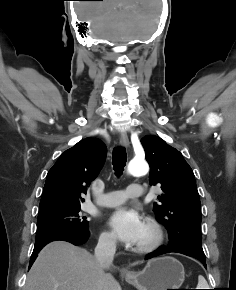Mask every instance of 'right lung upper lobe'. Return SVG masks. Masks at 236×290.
I'll use <instances>...</instances> for the list:
<instances>
[{
  "label": "right lung upper lobe",
  "mask_w": 236,
  "mask_h": 290,
  "mask_svg": "<svg viewBox=\"0 0 236 290\" xmlns=\"http://www.w3.org/2000/svg\"><path fill=\"white\" fill-rule=\"evenodd\" d=\"M106 159V147L96 138H85L66 150L47 174L39 208L78 205L87 186L97 177Z\"/></svg>",
  "instance_id": "right-lung-upper-lobe-1"
}]
</instances>
